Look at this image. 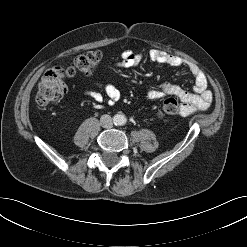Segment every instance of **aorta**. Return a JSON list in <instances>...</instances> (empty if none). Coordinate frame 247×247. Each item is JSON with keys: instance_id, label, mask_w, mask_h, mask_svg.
Instances as JSON below:
<instances>
[{"instance_id": "762f6f07", "label": "aorta", "mask_w": 247, "mask_h": 247, "mask_svg": "<svg viewBox=\"0 0 247 247\" xmlns=\"http://www.w3.org/2000/svg\"><path fill=\"white\" fill-rule=\"evenodd\" d=\"M114 121L117 125H124L126 123L127 119H126L125 115L117 114L114 117Z\"/></svg>"}]
</instances>
